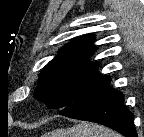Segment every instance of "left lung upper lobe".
<instances>
[{
    "label": "left lung upper lobe",
    "instance_id": "left-lung-upper-lobe-1",
    "mask_svg": "<svg viewBox=\"0 0 144 137\" xmlns=\"http://www.w3.org/2000/svg\"><path fill=\"white\" fill-rule=\"evenodd\" d=\"M93 41V35H85L63 46L39 74L34 97L51 109L65 108L107 79L97 73L98 63L88 62L95 49Z\"/></svg>",
    "mask_w": 144,
    "mask_h": 137
}]
</instances>
